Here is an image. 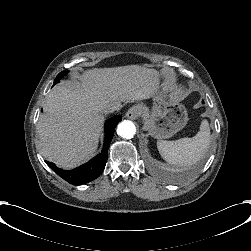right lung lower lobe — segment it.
Wrapping results in <instances>:
<instances>
[{
	"label": "right lung lower lobe",
	"mask_w": 251,
	"mask_h": 251,
	"mask_svg": "<svg viewBox=\"0 0 251 251\" xmlns=\"http://www.w3.org/2000/svg\"><path fill=\"white\" fill-rule=\"evenodd\" d=\"M121 119L122 116L117 115L106 121L104 127L106 135L104 139L103 149L100 154L95 156L86 164H83L73 170L59 169L55 166L54 163L48 161H45L46 164L60 177H62L72 185H81L96 179L105 168L107 162L108 148L112 140L115 127L121 121Z\"/></svg>",
	"instance_id": "obj_1"
}]
</instances>
